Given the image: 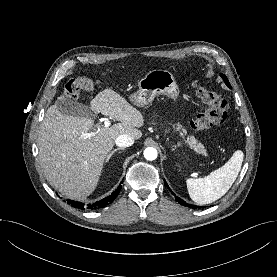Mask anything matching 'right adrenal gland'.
<instances>
[{
  "instance_id": "2a0ac1e0",
  "label": "right adrenal gland",
  "mask_w": 277,
  "mask_h": 277,
  "mask_svg": "<svg viewBox=\"0 0 277 277\" xmlns=\"http://www.w3.org/2000/svg\"><path fill=\"white\" fill-rule=\"evenodd\" d=\"M123 149H124V148H116V149L112 150V151L108 154L106 161H109V159L112 157V155H113L115 152H117L118 150H123Z\"/></svg>"
}]
</instances>
